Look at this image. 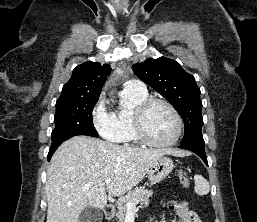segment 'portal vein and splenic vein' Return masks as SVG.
I'll list each match as a JSON object with an SVG mask.
<instances>
[{
  "instance_id": "18ae733b",
  "label": "portal vein and splenic vein",
  "mask_w": 257,
  "mask_h": 222,
  "mask_svg": "<svg viewBox=\"0 0 257 222\" xmlns=\"http://www.w3.org/2000/svg\"><path fill=\"white\" fill-rule=\"evenodd\" d=\"M110 182H111V178H107V179L105 180V183H106V184H109ZM127 207H128V209H130V208H134L135 205H134L133 203L129 202V203H127Z\"/></svg>"
}]
</instances>
